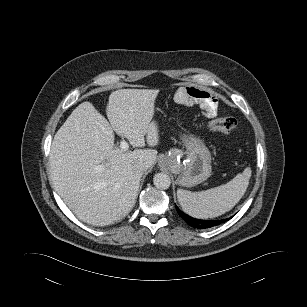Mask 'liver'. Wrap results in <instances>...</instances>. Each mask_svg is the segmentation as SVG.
I'll return each mask as SVG.
<instances>
[{
  "mask_svg": "<svg viewBox=\"0 0 307 307\" xmlns=\"http://www.w3.org/2000/svg\"><path fill=\"white\" fill-rule=\"evenodd\" d=\"M158 89H119L109 96L107 119L90 102L76 107L54 136L49 165L56 192L82 221L112 224L134 207L142 174L157 159L155 149L123 151L114 144V131L133 147L159 143L153 121ZM103 165L102 170L97 167Z\"/></svg>",
  "mask_w": 307,
  "mask_h": 307,
  "instance_id": "6515ba94",
  "label": "liver"
}]
</instances>
